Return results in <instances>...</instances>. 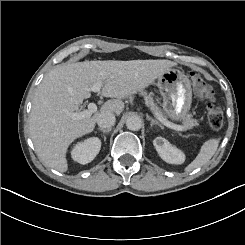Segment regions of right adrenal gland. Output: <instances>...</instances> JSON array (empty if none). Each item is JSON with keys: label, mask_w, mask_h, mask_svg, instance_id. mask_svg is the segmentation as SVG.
<instances>
[{"label": "right adrenal gland", "mask_w": 245, "mask_h": 245, "mask_svg": "<svg viewBox=\"0 0 245 245\" xmlns=\"http://www.w3.org/2000/svg\"><path fill=\"white\" fill-rule=\"evenodd\" d=\"M99 130H101L102 132H110V128H107V129H103V128H99ZM104 138H106V136L104 135Z\"/></svg>", "instance_id": "obj_1"}]
</instances>
